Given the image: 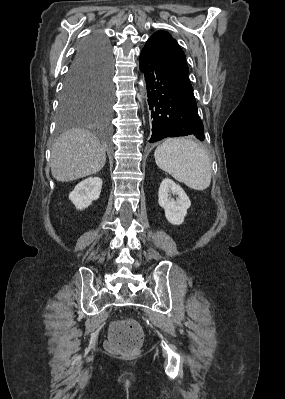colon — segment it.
Segmentation results:
<instances>
[{
    "instance_id": "obj_1",
    "label": "colon",
    "mask_w": 285,
    "mask_h": 399,
    "mask_svg": "<svg viewBox=\"0 0 285 399\" xmlns=\"http://www.w3.org/2000/svg\"><path fill=\"white\" fill-rule=\"evenodd\" d=\"M144 338L141 326L132 320L117 322L110 330L107 348L120 354H134L138 351Z\"/></svg>"
}]
</instances>
